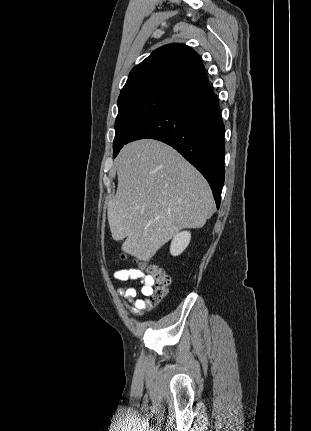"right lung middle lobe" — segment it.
<instances>
[{"label":"right lung middle lobe","mask_w":311,"mask_h":431,"mask_svg":"<svg viewBox=\"0 0 311 431\" xmlns=\"http://www.w3.org/2000/svg\"><path fill=\"white\" fill-rule=\"evenodd\" d=\"M180 96L160 89L144 88L121 94L115 121L113 157L128 143L131 134L146 120Z\"/></svg>","instance_id":"obj_1"}]
</instances>
